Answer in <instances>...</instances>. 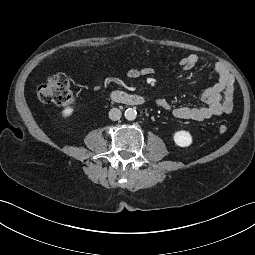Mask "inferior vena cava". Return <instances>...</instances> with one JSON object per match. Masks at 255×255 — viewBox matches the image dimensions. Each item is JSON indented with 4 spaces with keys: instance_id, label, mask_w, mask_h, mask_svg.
<instances>
[{
    "instance_id": "obj_1",
    "label": "inferior vena cava",
    "mask_w": 255,
    "mask_h": 255,
    "mask_svg": "<svg viewBox=\"0 0 255 255\" xmlns=\"http://www.w3.org/2000/svg\"><path fill=\"white\" fill-rule=\"evenodd\" d=\"M109 118L113 121H117L121 118V111L118 108H112L109 111Z\"/></svg>"
}]
</instances>
